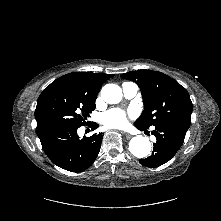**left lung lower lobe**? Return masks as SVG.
<instances>
[{"label":"left lung lower lobe","mask_w":221,"mask_h":221,"mask_svg":"<svg viewBox=\"0 0 221 221\" xmlns=\"http://www.w3.org/2000/svg\"><path fill=\"white\" fill-rule=\"evenodd\" d=\"M135 125V124H134ZM139 130H146L135 125ZM188 128L178 125H160L155 127L152 134L156 137L154 149L151 156L145 159H139V162L146 167H159L176 154L184 142Z\"/></svg>","instance_id":"left-lung-lower-lobe-1"}]
</instances>
